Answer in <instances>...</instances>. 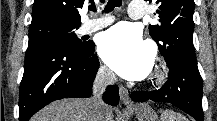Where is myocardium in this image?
Returning a JSON list of instances; mask_svg holds the SVG:
<instances>
[{
	"label": "myocardium",
	"mask_w": 217,
	"mask_h": 121,
	"mask_svg": "<svg viewBox=\"0 0 217 121\" xmlns=\"http://www.w3.org/2000/svg\"><path fill=\"white\" fill-rule=\"evenodd\" d=\"M166 77V72L162 68H157L152 74L151 80L155 83H161Z\"/></svg>",
	"instance_id": "f54148a6"
}]
</instances>
